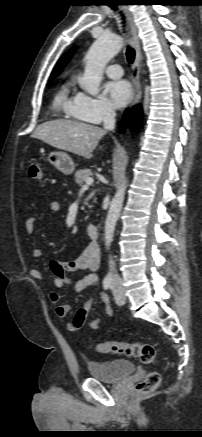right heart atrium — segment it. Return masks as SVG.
Masks as SVG:
<instances>
[{"label":"right heart atrium","mask_w":202,"mask_h":437,"mask_svg":"<svg viewBox=\"0 0 202 437\" xmlns=\"http://www.w3.org/2000/svg\"><path fill=\"white\" fill-rule=\"evenodd\" d=\"M74 112L81 120L100 123L113 117L115 108L111 101L103 95L91 96L79 92L74 99Z\"/></svg>","instance_id":"obj_1"}]
</instances>
